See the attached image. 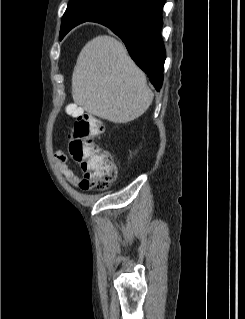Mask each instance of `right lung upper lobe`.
<instances>
[{"instance_id":"1","label":"right lung upper lobe","mask_w":245,"mask_h":319,"mask_svg":"<svg viewBox=\"0 0 245 319\" xmlns=\"http://www.w3.org/2000/svg\"><path fill=\"white\" fill-rule=\"evenodd\" d=\"M82 1L84 0H70L61 24V26L67 25V27L63 30L64 33H61V36H64L76 25L94 18L88 11L81 7Z\"/></svg>"}]
</instances>
